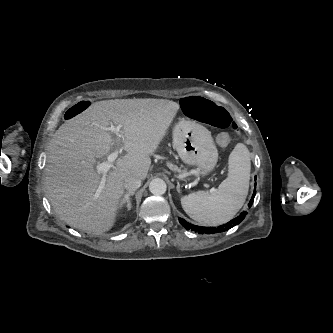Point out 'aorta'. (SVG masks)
Listing matches in <instances>:
<instances>
[{
	"instance_id": "aorta-1",
	"label": "aorta",
	"mask_w": 333,
	"mask_h": 333,
	"mask_svg": "<svg viewBox=\"0 0 333 333\" xmlns=\"http://www.w3.org/2000/svg\"><path fill=\"white\" fill-rule=\"evenodd\" d=\"M149 190L154 195H162L166 192L167 186L164 180L156 178L150 182Z\"/></svg>"
}]
</instances>
